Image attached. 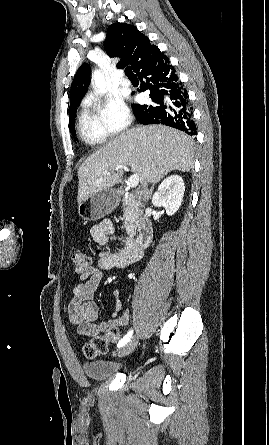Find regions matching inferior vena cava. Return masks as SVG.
Returning <instances> with one entry per match:
<instances>
[{
	"instance_id": "1",
	"label": "inferior vena cava",
	"mask_w": 269,
	"mask_h": 445,
	"mask_svg": "<svg viewBox=\"0 0 269 445\" xmlns=\"http://www.w3.org/2000/svg\"><path fill=\"white\" fill-rule=\"evenodd\" d=\"M146 188V184L144 185V193H146L147 194V188Z\"/></svg>"
}]
</instances>
